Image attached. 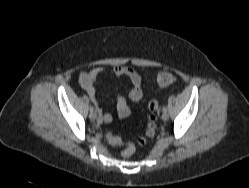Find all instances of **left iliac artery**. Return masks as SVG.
<instances>
[{"mask_svg":"<svg viewBox=\"0 0 249 188\" xmlns=\"http://www.w3.org/2000/svg\"><path fill=\"white\" fill-rule=\"evenodd\" d=\"M163 112H167V107H163Z\"/></svg>","mask_w":249,"mask_h":188,"instance_id":"1","label":"left iliac artery"}]
</instances>
